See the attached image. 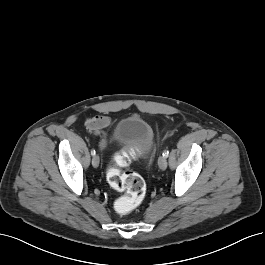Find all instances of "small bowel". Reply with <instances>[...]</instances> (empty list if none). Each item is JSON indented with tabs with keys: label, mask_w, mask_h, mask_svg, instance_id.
Instances as JSON below:
<instances>
[{
	"label": "small bowel",
	"mask_w": 265,
	"mask_h": 265,
	"mask_svg": "<svg viewBox=\"0 0 265 265\" xmlns=\"http://www.w3.org/2000/svg\"><path fill=\"white\" fill-rule=\"evenodd\" d=\"M111 124V120L107 116H93L86 120V127L94 134L101 136L99 146L101 149H105L113 140L109 136L105 129Z\"/></svg>",
	"instance_id": "small-bowel-1"
}]
</instances>
